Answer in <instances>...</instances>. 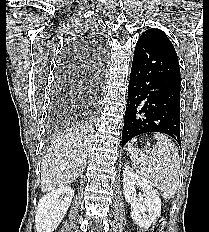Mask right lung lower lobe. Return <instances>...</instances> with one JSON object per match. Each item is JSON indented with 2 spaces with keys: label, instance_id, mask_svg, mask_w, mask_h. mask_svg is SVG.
I'll use <instances>...</instances> for the list:
<instances>
[{
  "label": "right lung lower lobe",
  "instance_id": "right-lung-lower-lobe-1",
  "mask_svg": "<svg viewBox=\"0 0 209 232\" xmlns=\"http://www.w3.org/2000/svg\"><path fill=\"white\" fill-rule=\"evenodd\" d=\"M93 72L95 74H97L98 76H101L102 75V72H103V66H102V62L99 61L98 63L95 64V67L93 69Z\"/></svg>",
  "mask_w": 209,
  "mask_h": 232
}]
</instances>
